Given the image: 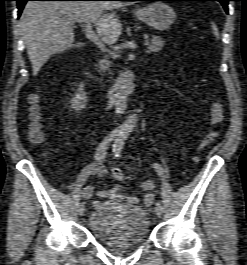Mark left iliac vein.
Returning <instances> with one entry per match:
<instances>
[{
	"label": "left iliac vein",
	"instance_id": "left-iliac-vein-1",
	"mask_svg": "<svg viewBox=\"0 0 247 265\" xmlns=\"http://www.w3.org/2000/svg\"><path fill=\"white\" fill-rule=\"evenodd\" d=\"M155 211L158 217L162 215V206L159 202L156 203Z\"/></svg>",
	"mask_w": 247,
	"mask_h": 265
}]
</instances>
